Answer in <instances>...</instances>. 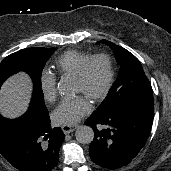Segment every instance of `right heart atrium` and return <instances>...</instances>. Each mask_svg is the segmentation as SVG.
<instances>
[{
  "instance_id": "right-heart-atrium-1",
  "label": "right heart atrium",
  "mask_w": 171,
  "mask_h": 171,
  "mask_svg": "<svg viewBox=\"0 0 171 171\" xmlns=\"http://www.w3.org/2000/svg\"><path fill=\"white\" fill-rule=\"evenodd\" d=\"M39 86L43 99L47 102H53L57 96L56 77L49 71H43L39 78Z\"/></svg>"
}]
</instances>
